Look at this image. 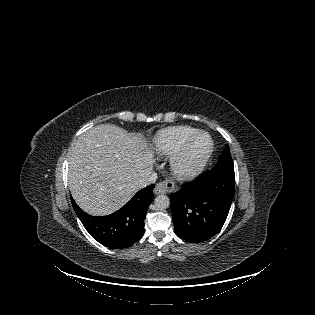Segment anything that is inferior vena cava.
I'll use <instances>...</instances> for the list:
<instances>
[{"label":"inferior vena cava","instance_id":"inferior-vena-cava-1","mask_svg":"<svg viewBox=\"0 0 315 315\" xmlns=\"http://www.w3.org/2000/svg\"><path fill=\"white\" fill-rule=\"evenodd\" d=\"M157 179V174L155 172H151L142 182L141 187H145L147 185H150L154 183Z\"/></svg>","mask_w":315,"mask_h":315}]
</instances>
